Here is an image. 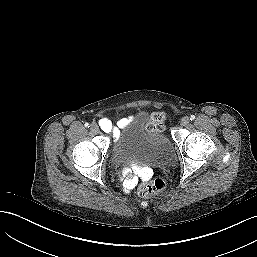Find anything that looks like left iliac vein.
I'll return each mask as SVG.
<instances>
[{"instance_id": "4c4485c4", "label": "left iliac vein", "mask_w": 257, "mask_h": 257, "mask_svg": "<svg viewBox=\"0 0 257 257\" xmlns=\"http://www.w3.org/2000/svg\"><path fill=\"white\" fill-rule=\"evenodd\" d=\"M189 122H190L189 117H188V116H184V117L181 119L180 124H181V126H187V125L189 124Z\"/></svg>"}]
</instances>
